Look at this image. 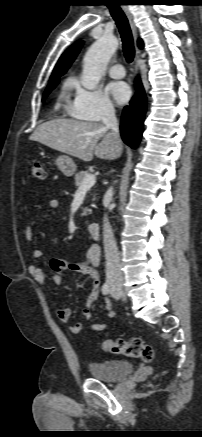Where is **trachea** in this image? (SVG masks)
<instances>
[{
	"label": "trachea",
	"mask_w": 202,
	"mask_h": 437,
	"mask_svg": "<svg viewBox=\"0 0 202 437\" xmlns=\"http://www.w3.org/2000/svg\"><path fill=\"white\" fill-rule=\"evenodd\" d=\"M108 8L121 35L124 57L128 63H131L135 56V48L129 21L120 6L108 5Z\"/></svg>",
	"instance_id": "1"
}]
</instances>
